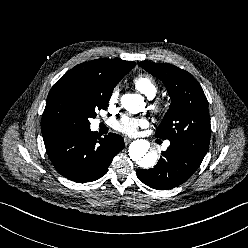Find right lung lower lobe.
Here are the masks:
<instances>
[{"label": "right lung lower lobe", "instance_id": "1", "mask_svg": "<svg viewBox=\"0 0 248 248\" xmlns=\"http://www.w3.org/2000/svg\"><path fill=\"white\" fill-rule=\"evenodd\" d=\"M42 134L46 152L56 170L78 183L104 176L113 158L124 148V139L120 135L109 133L100 138L90 128Z\"/></svg>", "mask_w": 248, "mask_h": 248}]
</instances>
